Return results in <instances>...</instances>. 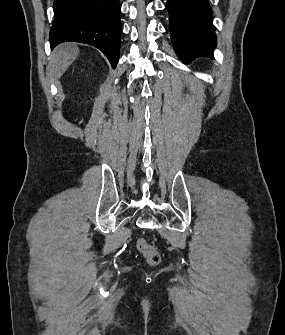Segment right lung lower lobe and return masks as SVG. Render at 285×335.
Wrapping results in <instances>:
<instances>
[{"mask_svg":"<svg viewBox=\"0 0 285 335\" xmlns=\"http://www.w3.org/2000/svg\"><path fill=\"white\" fill-rule=\"evenodd\" d=\"M53 9L51 49L68 41L90 44L116 67L122 31L118 0H54Z\"/></svg>","mask_w":285,"mask_h":335,"instance_id":"right-lung-lower-lobe-1","label":"right lung lower lobe"}]
</instances>
